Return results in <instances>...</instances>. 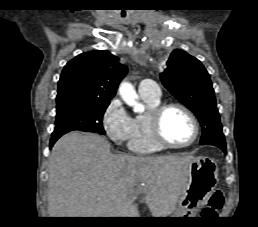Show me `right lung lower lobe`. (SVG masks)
Masks as SVG:
<instances>
[{"label":"right lung lower lobe","instance_id":"1","mask_svg":"<svg viewBox=\"0 0 258 227\" xmlns=\"http://www.w3.org/2000/svg\"><path fill=\"white\" fill-rule=\"evenodd\" d=\"M69 131L64 129H54V132L52 133V137L50 140V148L54 145V143L65 133Z\"/></svg>","mask_w":258,"mask_h":227}]
</instances>
